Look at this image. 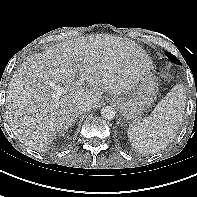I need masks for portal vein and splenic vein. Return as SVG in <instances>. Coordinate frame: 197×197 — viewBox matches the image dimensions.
<instances>
[{"label": "portal vein and splenic vein", "instance_id": "18ae733b", "mask_svg": "<svg viewBox=\"0 0 197 197\" xmlns=\"http://www.w3.org/2000/svg\"><path fill=\"white\" fill-rule=\"evenodd\" d=\"M82 82L83 79H80L79 85H81ZM49 84L54 89V93L52 94L53 98L58 99L61 95H63L67 91L64 87L57 85L55 82L50 81Z\"/></svg>", "mask_w": 197, "mask_h": 197}]
</instances>
